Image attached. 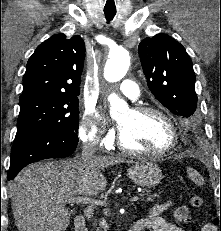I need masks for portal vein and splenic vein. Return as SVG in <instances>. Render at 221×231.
<instances>
[{
	"label": "portal vein and splenic vein",
	"instance_id": "1",
	"mask_svg": "<svg viewBox=\"0 0 221 231\" xmlns=\"http://www.w3.org/2000/svg\"><path fill=\"white\" fill-rule=\"evenodd\" d=\"M140 199V195H134L132 196L129 200L131 202H135V201H138ZM64 203H69V204H91V203H94L96 205H104L105 203L102 202V201H99V200H93L89 197H86V196H76V197H72V198H69V199H65V200H62Z\"/></svg>",
	"mask_w": 221,
	"mask_h": 231
}]
</instances>
